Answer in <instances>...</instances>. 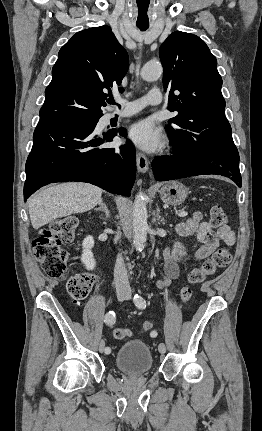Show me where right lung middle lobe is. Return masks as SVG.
I'll return each instance as SVG.
<instances>
[{"instance_id": "right-lung-middle-lobe-1", "label": "right lung middle lobe", "mask_w": 262, "mask_h": 431, "mask_svg": "<svg viewBox=\"0 0 262 431\" xmlns=\"http://www.w3.org/2000/svg\"><path fill=\"white\" fill-rule=\"evenodd\" d=\"M87 120L91 124H97L99 118H87Z\"/></svg>"}]
</instances>
